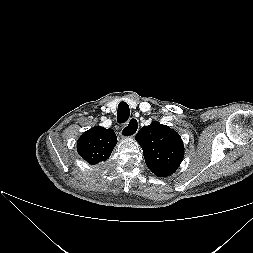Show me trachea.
<instances>
[{
    "mask_svg": "<svg viewBox=\"0 0 253 253\" xmlns=\"http://www.w3.org/2000/svg\"><path fill=\"white\" fill-rule=\"evenodd\" d=\"M130 116V110L129 106L126 102H121L118 105V111H117V121L119 123H124L128 120ZM133 124L132 120L130 121L129 125L131 126Z\"/></svg>",
    "mask_w": 253,
    "mask_h": 253,
    "instance_id": "obj_1",
    "label": "trachea"
}]
</instances>
